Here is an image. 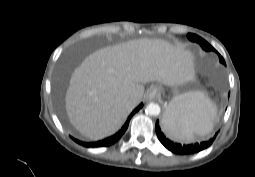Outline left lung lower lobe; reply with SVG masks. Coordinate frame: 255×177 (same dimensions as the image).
<instances>
[{
  "label": "left lung lower lobe",
  "instance_id": "left-lung-lower-lobe-1",
  "mask_svg": "<svg viewBox=\"0 0 255 177\" xmlns=\"http://www.w3.org/2000/svg\"><path fill=\"white\" fill-rule=\"evenodd\" d=\"M155 129H156V133H157V136H158V139L160 140V142L172 153L178 154V155H190V154H194V153L200 152V151L208 148L212 144V142L214 141L215 137L218 134V133H216L215 136L212 139H210L209 141H204V142L195 143V144L182 145L179 143H175V142L171 141L168 137H166L162 133V131L159 127L158 121L156 122Z\"/></svg>",
  "mask_w": 255,
  "mask_h": 177
}]
</instances>
